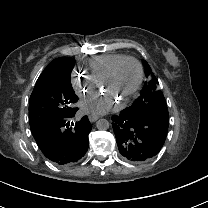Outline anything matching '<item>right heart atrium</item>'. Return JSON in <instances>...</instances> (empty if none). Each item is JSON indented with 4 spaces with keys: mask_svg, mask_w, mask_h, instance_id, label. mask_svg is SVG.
Instances as JSON below:
<instances>
[{
    "mask_svg": "<svg viewBox=\"0 0 208 208\" xmlns=\"http://www.w3.org/2000/svg\"><path fill=\"white\" fill-rule=\"evenodd\" d=\"M70 84L75 94L80 98H94L98 89V83L93 80L91 75L79 74L75 69L71 72Z\"/></svg>",
    "mask_w": 208,
    "mask_h": 208,
    "instance_id": "d8ad5b80",
    "label": "right heart atrium"
}]
</instances>
